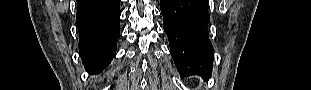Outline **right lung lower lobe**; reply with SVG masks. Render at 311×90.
I'll list each match as a JSON object with an SVG mask.
<instances>
[{
    "label": "right lung lower lobe",
    "mask_w": 311,
    "mask_h": 90,
    "mask_svg": "<svg viewBox=\"0 0 311 90\" xmlns=\"http://www.w3.org/2000/svg\"><path fill=\"white\" fill-rule=\"evenodd\" d=\"M120 0H77L80 55L89 74L113 59L120 35Z\"/></svg>",
    "instance_id": "1"
}]
</instances>
